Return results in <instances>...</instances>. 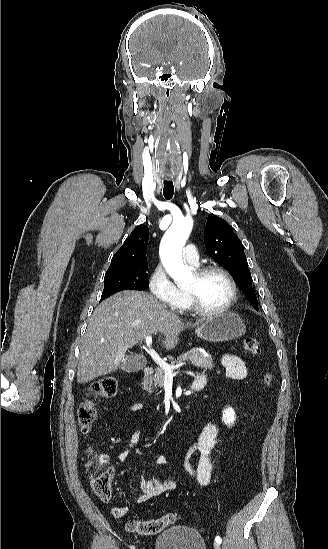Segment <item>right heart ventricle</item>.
<instances>
[{
    "label": "right heart ventricle",
    "instance_id": "obj_1",
    "mask_svg": "<svg viewBox=\"0 0 328 549\" xmlns=\"http://www.w3.org/2000/svg\"><path fill=\"white\" fill-rule=\"evenodd\" d=\"M195 263H188V264H197ZM168 303H177L178 304V312L187 310L188 300L186 298L184 288L183 287H175V294L172 297V299Z\"/></svg>",
    "mask_w": 328,
    "mask_h": 549
}]
</instances>
